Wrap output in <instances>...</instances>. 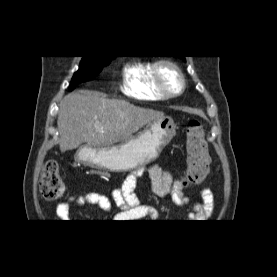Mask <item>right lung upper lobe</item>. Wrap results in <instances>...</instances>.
<instances>
[{"mask_svg":"<svg viewBox=\"0 0 277 277\" xmlns=\"http://www.w3.org/2000/svg\"><path fill=\"white\" fill-rule=\"evenodd\" d=\"M84 57H107V58H114L115 56H84Z\"/></svg>","mask_w":277,"mask_h":277,"instance_id":"1","label":"right lung upper lobe"}]
</instances>
